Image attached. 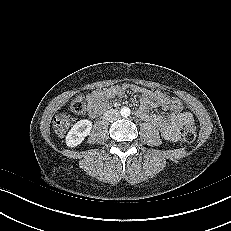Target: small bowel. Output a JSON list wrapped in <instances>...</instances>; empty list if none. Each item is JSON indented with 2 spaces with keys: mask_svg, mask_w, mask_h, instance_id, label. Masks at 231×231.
Returning a JSON list of instances; mask_svg holds the SVG:
<instances>
[{
  "mask_svg": "<svg viewBox=\"0 0 231 231\" xmlns=\"http://www.w3.org/2000/svg\"><path fill=\"white\" fill-rule=\"evenodd\" d=\"M128 90L141 95V101L136 111L137 116L155 125L165 139L170 141L178 140L180 128L187 123H194L192 114L174 109L165 93L151 91L131 84L115 85L104 90L89 92L86 95L88 115L96 117L102 110L108 107L106 101L122 96ZM158 108L168 112L167 117L151 112Z\"/></svg>",
  "mask_w": 231,
  "mask_h": 231,
  "instance_id": "obj_1",
  "label": "small bowel"
}]
</instances>
